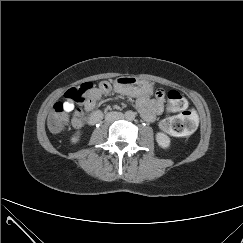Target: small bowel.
Wrapping results in <instances>:
<instances>
[{
    "mask_svg": "<svg viewBox=\"0 0 243 243\" xmlns=\"http://www.w3.org/2000/svg\"><path fill=\"white\" fill-rule=\"evenodd\" d=\"M110 88L103 90L98 87L93 90V100L86 104V110L90 111L96 100H99L102 95L107 94ZM136 108L139 111L141 117L147 121L152 122L156 119L157 115H160L163 112V99L162 97L151 98L147 93H143L138 96L136 100ZM66 112H71L74 109L72 103H66L65 105ZM72 123L75 127H80L82 125L78 124V119L74 116Z\"/></svg>",
    "mask_w": 243,
    "mask_h": 243,
    "instance_id": "1",
    "label": "small bowel"
}]
</instances>
